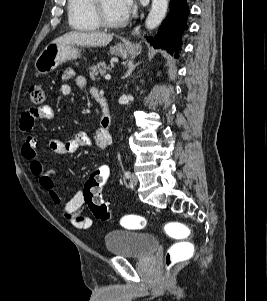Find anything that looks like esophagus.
<instances>
[{"label":"esophagus","mask_w":267,"mask_h":301,"mask_svg":"<svg viewBox=\"0 0 267 301\" xmlns=\"http://www.w3.org/2000/svg\"><path fill=\"white\" fill-rule=\"evenodd\" d=\"M140 34V26H136L133 30H132V35L137 36Z\"/></svg>","instance_id":"1"}]
</instances>
